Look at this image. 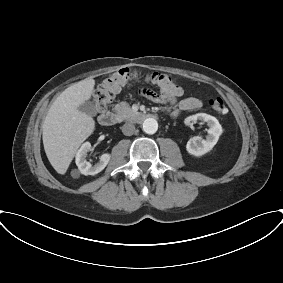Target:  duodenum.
<instances>
[{
  "label": "duodenum",
  "mask_w": 283,
  "mask_h": 283,
  "mask_svg": "<svg viewBox=\"0 0 283 283\" xmlns=\"http://www.w3.org/2000/svg\"><path fill=\"white\" fill-rule=\"evenodd\" d=\"M150 118H152V114L148 112H136L133 121L141 123ZM98 122L102 126H111L116 122V115L111 111L102 112L98 116Z\"/></svg>",
  "instance_id": "obj_1"
}]
</instances>
